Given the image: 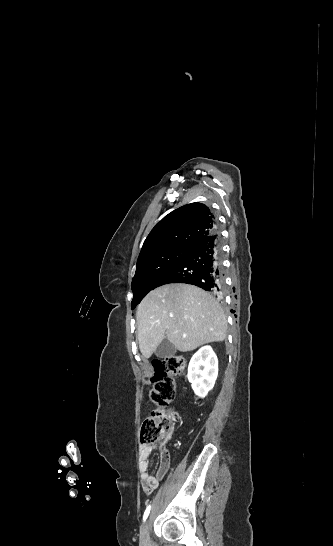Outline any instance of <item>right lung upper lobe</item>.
<instances>
[{"label": "right lung upper lobe", "mask_w": 333, "mask_h": 546, "mask_svg": "<svg viewBox=\"0 0 333 546\" xmlns=\"http://www.w3.org/2000/svg\"><path fill=\"white\" fill-rule=\"evenodd\" d=\"M215 230V217L205 204L184 205L154 226L144 241L137 262L171 247H193Z\"/></svg>", "instance_id": "right-lung-upper-lobe-1"}]
</instances>
